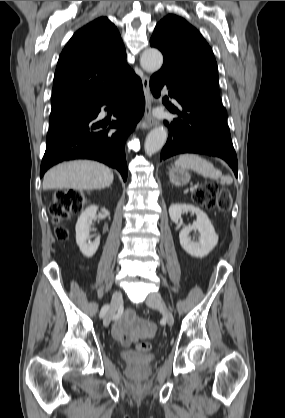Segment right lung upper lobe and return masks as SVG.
<instances>
[{
    "label": "right lung upper lobe",
    "mask_w": 285,
    "mask_h": 418,
    "mask_svg": "<svg viewBox=\"0 0 285 418\" xmlns=\"http://www.w3.org/2000/svg\"><path fill=\"white\" fill-rule=\"evenodd\" d=\"M134 72L115 25L100 17L79 29L56 67L52 108L92 104L123 89Z\"/></svg>",
    "instance_id": "1"
}]
</instances>
